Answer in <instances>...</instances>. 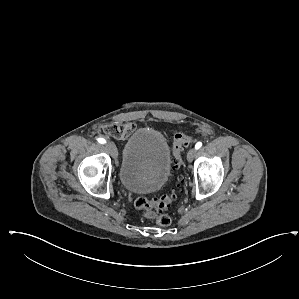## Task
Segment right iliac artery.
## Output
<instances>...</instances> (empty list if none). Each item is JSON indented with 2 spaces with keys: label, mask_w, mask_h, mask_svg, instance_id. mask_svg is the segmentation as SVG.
Segmentation results:
<instances>
[{
  "label": "right iliac artery",
  "mask_w": 299,
  "mask_h": 299,
  "mask_svg": "<svg viewBox=\"0 0 299 299\" xmlns=\"http://www.w3.org/2000/svg\"><path fill=\"white\" fill-rule=\"evenodd\" d=\"M97 141L101 144H105L106 140L104 138H98Z\"/></svg>",
  "instance_id": "right-iliac-artery-1"
}]
</instances>
